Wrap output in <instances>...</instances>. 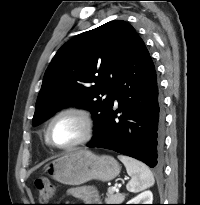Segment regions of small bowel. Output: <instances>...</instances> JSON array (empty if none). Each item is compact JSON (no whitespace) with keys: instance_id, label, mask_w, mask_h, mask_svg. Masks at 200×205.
<instances>
[{"instance_id":"obj_1","label":"small bowel","mask_w":200,"mask_h":205,"mask_svg":"<svg viewBox=\"0 0 200 205\" xmlns=\"http://www.w3.org/2000/svg\"><path fill=\"white\" fill-rule=\"evenodd\" d=\"M69 195L75 196L77 198H81L86 201H96L97 200V194L93 189H87V188H72L68 192Z\"/></svg>"}]
</instances>
